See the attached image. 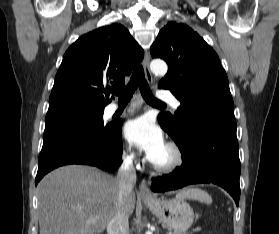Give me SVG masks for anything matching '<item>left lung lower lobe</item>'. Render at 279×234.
<instances>
[{
  "label": "left lung lower lobe",
  "mask_w": 279,
  "mask_h": 234,
  "mask_svg": "<svg viewBox=\"0 0 279 234\" xmlns=\"http://www.w3.org/2000/svg\"><path fill=\"white\" fill-rule=\"evenodd\" d=\"M185 139L184 146L179 148L181 167L154 178L152 190L164 192L194 183H214L227 190L238 206L241 167L235 119L194 116L187 124Z\"/></svg>",
  "instance_id": "left-lung-lower-lobe-1"
}]
</instances>
